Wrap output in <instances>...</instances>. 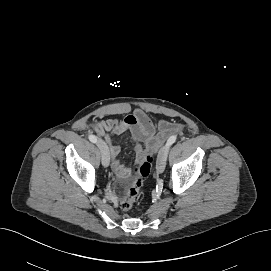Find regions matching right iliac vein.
Segmentation results:
<instances>
[{
    "label": "right iliac vein",
    "mask_w": 271,
    "mask_h": 271,
    "mask_svg": "<svg viewBox=\"0 0 271 271\" xmlns=\"http://www.w3.org/2000/svg\"><path fill=\"white\" fill-rule=\"evenodd\" d=\"M97 146L101 152V162L104 167H108L110 162V154L106 143L102 140L97 141Z\"/></svg>",
    "instance_id": "1"
}]
</instances>
